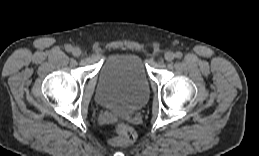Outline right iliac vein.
<instances>
[{
  "mask_svg": "<svg viewBox=\"0 0 259 156\" xmlns=\"http://www.w3.org/2000/svg\"><path fill=\"white\" fill-rule=\"evenodd\" d=\"M72 54H73L75 57L80 56V54H81V49L78 48V47L73 48V49H72Z\"/></svg>",
  "mask_w": 259,
  "mask_h": 156,
  "instance_id": "right-iliac-vein-1",
  "label": "right iliac vein"
}]
</instances>
